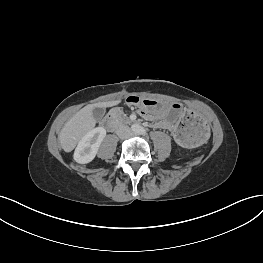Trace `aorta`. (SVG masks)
Listing matches in <instances>:
<instances>
[{
    "mask_svg": "<svg viewBox=\"0 0 263 263\" xmlns=\"http://www.w3.org/2000/svg\"><path fill=\"white\" fill-rule=\"evenodd\" d=\"M131 130L134 133H138V132H140L142 130V126H140L139 124H133L131 126Z\"/></svg>",
    "mask_w": 263,
    "mask_h": 263,
    "instance_id": "obj_1",
    "label": "aorta"
}]
</instances>
